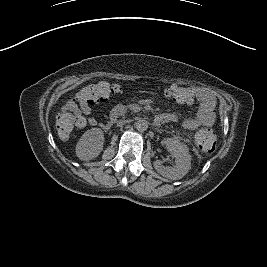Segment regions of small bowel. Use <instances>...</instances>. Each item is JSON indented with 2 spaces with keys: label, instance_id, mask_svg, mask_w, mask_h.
<instances>
[{
  "label": "small bowel",
  "instance_id": "obj_1",
  "mask_svg": "<svg viewBox=\"0 0 267 267\" xmlns=\"http://www.w3.org/2000/svg\"><path fill=\"white\" fill-rule=\"evenodd\" d=\"M189 93V101L185 104H192L195 101L199 102L196 115L193 118H187L183 121V126L187 130H195L198 127H211L216 121L215 96L206 88L203 87H188L182 88ZM63 110L71 113L76 119H82V122H77L78 126H97L99 124L95 117H86L92 113L91 104L77 103L75 98H70L63 106ZM162 122L167 123L173 121L175 117L172 114H163ZM100 127L106 128L107 124L100 123Z\"/></svg>",
  "mask_w": 267,
  "mask_h": 267
}]
</instances>
